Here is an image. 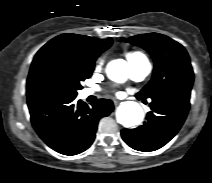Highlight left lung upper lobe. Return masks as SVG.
Here are the masks:
<instances>
[{
  "label": "left lung upper lobe",
  "instance_id": "1",
  "mask_svg": "<svg viewBox=\"0 0 212 183\" xmlns=\"http://www.w3.org/2000/svg\"><path fill=\"white\" fill-rule=\"evenodd\" d=\"M129 41L148 51L155 63L152 79L137 93L139 97L145 99L162 94H190L194 73L190 58L181 44L158 33L132 36Z\"/></svg>",
  "mask_w": 212,
  "mask_h": 183
}]
</instances>
